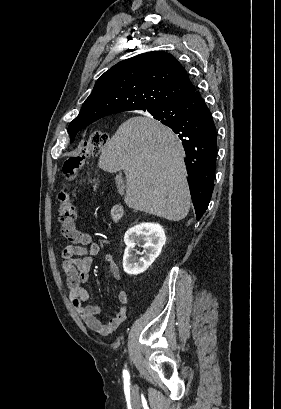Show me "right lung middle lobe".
Here are the masks:
<instances>
[{"label": "right lung middle lobe", "mask_w": 281, "mask_h": 409, "mask_svg": "<svg viewBox=\"0 0 281 409\" xmlns=\"http://www.w3.org/2000/svg\"><path fill=\"white\" fill-rule=\"evenodd\" d=\"M159 121H161V123L167 125L171 122L172 118L167 117V118H155ZM82 128L80 127H68V133L70 135V142H72L75 138V135L78 131H80Z\"/></svg>", "instance_id": "obj_1"}]
</instances>
